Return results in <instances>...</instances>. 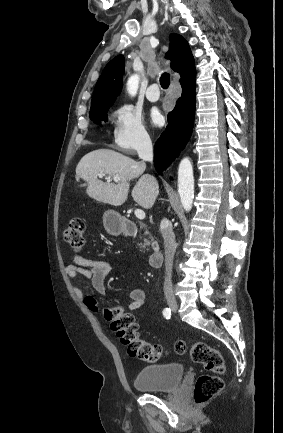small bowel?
<instances>
[{
    "mask_svg": "<svg viewBox=\"0 0 283 433\" xmlns=\"http://www.w3.org/2000/svg\"><path fill=\"white\" fill-rule=\"evenodd\" d=\"M70 261L65 271L68 277L77 278L82 276L91 280L94 290L100 294H105V279L112 270L111 264L107 261L91 260L79 255L70 256ZM74 292L77 297L82 296V291L79 287H74ZM128 309L130 311H138L140 316L146 315L145 310V292L141 288H134L129 293Z\"/></svg>",
    "mask_w": 283,
    "mask_h": 433,
    "instance_id": "small-bowel-1",
    "label": "small bowel"
}]
</instances>
